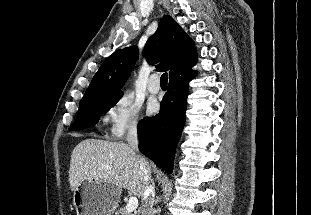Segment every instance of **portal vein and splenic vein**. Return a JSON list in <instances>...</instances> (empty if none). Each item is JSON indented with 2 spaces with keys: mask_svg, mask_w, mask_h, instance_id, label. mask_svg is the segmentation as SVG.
<instances>
[{
  "mask_svg": "<svg viewBox=\"0 0 311 215\" xmlns=\"http://www.w3.org/2000/svg\"><path fill=\"white\" fill-rule=\"evenodd\" d=\"M137 207H138V199L136 197H130L126 205V210L128 212H133L137 209Z\"/></svg>",
  "mask_w": 311,
  "mask_h": 215,
  "instance_id": "obj_1",
  "label": "portal vein and splenic vein"
}]
</instances>
